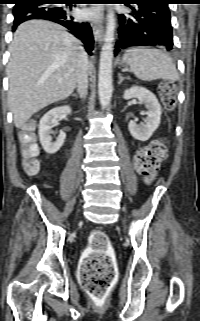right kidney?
I'll list each match as a JSON object with an SVG mask.
<instances>
[{"label":"right kidney","instance_id":"ca27d5eb","mask_svg":"<svg viewBox=\"0 0 200 321\" xmlns=\"http://www.w3.org/2000/svg\"><path fill=\"white\" fill-rule=\"evenodd\" d=\"M69 106L56 107L48 111L39 122L40 143L48 154H55L63 145L66 138L64 132H60L55 140H52V126L58 125V119L65 114H71Z\"/></svg>","mask_w":200,"mask_h":321}]
</instances>
